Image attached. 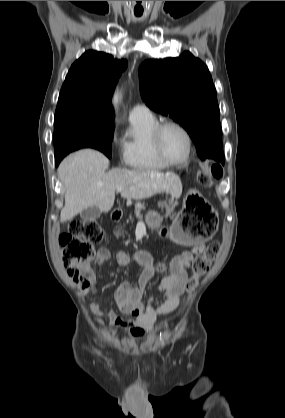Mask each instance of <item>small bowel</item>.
<instances>
[{
    "mask_svg": "<svg viewBox=\"0 0 285 418\" xmlns=\"http://www.w3.org/2000/svg\"><path fill=\"white\" fill-rule=\"evenodd\" d=\"M201 249V246H197L191 251L173 257L171 272L160 281L157 287V292L163 296V303L158 307L154 305L155 295L151 296L146 304L142 300L144 289L156 272L152 257L145 252H140L134 257H130L124 252L118 253L116 261L120 267H128L135 263L142 268V271L137 286H132L128 281L119 285L115 293V301L124 317L111 312L109 324L113 327L128 329L133 338H140L151 332L155 328L158 316L169 314L178 307L185 291L186 271L190 268L194 256ZM110 255L109 249L100 248L93 258V263L100 266L110 258ZM87 292H94V287H91ZM96 322L103 324L100 318H96Z\"/></svg>",
    "mask_w": 285,
    "mask_h": 418,
    "instance_id": "c3829d8e",
    "label": "small bowel"
}]
</instances>
